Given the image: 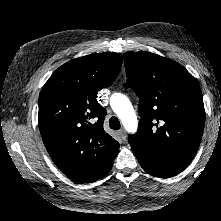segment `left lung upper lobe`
I'll use <instances>...</instances> for the list:
<instances>
[{
  "label": "left lung upper lobe",
  "mask_w": 221,
  "mask_h": 221,
  "mask_svg": "<svg viewBox=\"0 0 221 221\" xmlns=\"http://www.w3.org/2000/svg\"><path fill=\"white\" fill-rule=\"evenodd\" d=\"M127 83L138 95V131L131 147L182 162L194 158L203 135L205 109L196 79L177 62L150 52L124 54Z\"/></svg>",
  "instance_id": "obj_1"
}]
</instances>
